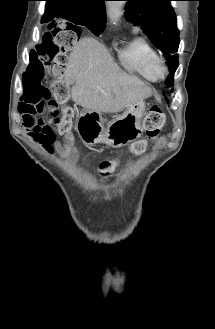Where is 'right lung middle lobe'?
<instances>
[{
  "label": "right lung middle lobe",
  "instance_id": "obj_1",
  "mask_svg": "<svg viewBox=\"0 0 215 329\" xmlns=\"http://www.w3.org/2000/svg\"><path fill=\"white\" fill-rule=\"evenodd\" d=\"M47 14L50 16V15H53L54 13L50 12ZM66 19L69 20L70 22H72L69 24V28L76 31L78 33V35H80V33H81V29L78 25L86 26L96 36L100 35L105 27L103 24L86 22L78 15H69V16H67Z\"/></svg>",
  "mask_w": 215,
  "mask_h": 329
}]
</instances>
